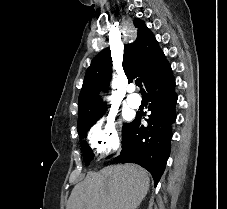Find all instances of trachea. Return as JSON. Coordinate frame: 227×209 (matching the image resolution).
<instances>
[{"instance_id": "obj_1", "label": "trachea", "mask_w": 227, "mask_h": 209, "mask_svg": "<svg viewBox=\"0 0 227 209\" xmlns=\"http://www.w3.org/2000/svg\"><path fill=\"white\" fill-rule=\"evenodd\" d=\"M135 84H136L138 87H140V91H141V92H144V89L142 88V82H141L140 79H136V80H135Z\"/></svg>"}]
</instances>
